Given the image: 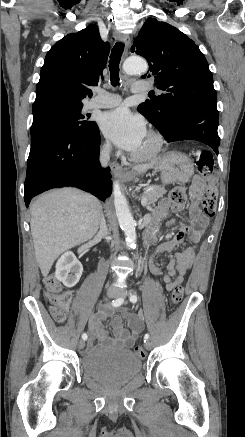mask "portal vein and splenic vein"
Returning a JSON list of instances; mask_svg holds the SVG:
<instances>
[{"label": "portal vein and splenic vein", "instance_id": "1", "mask_svg": "<svg viewBox=\"0 0 245 437\" xmlns=\"http://www.w3.org/2000/svg\"><path fill=\"white\" fill-rule=\"evenodd\" d=\"M141 204L145 207H147V199L144 197V196H142V199H141ZM148 208V207H147Z\"/></svg>", "mask_w": 245, "mask_h": 437}]
</instances>
